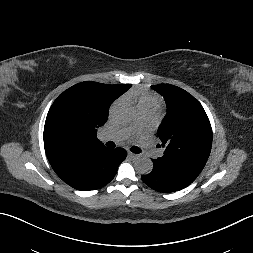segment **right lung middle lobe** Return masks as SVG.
Segmentation results:
<instances>
[{
  "label": "right lung middle lobe",
  "instance_id": "dd1d6c3e",
  "mask_svg": "<svg viewBox=\"0 0 253 253\" xmlns=\"http://www.w3.org/2000/svg\"><path fill=\"white\" fill-rule=\"evenodd\" d=\"M109 107L110 103L104 101L82 103L67 100L58 106L52 124L63 134L96 132L107 121Z\"/></svg>",
  "mask_w": 253,
  "mask_h": 253
}]
</instances>
